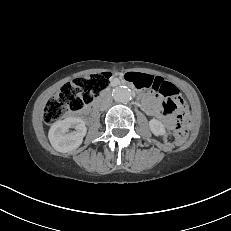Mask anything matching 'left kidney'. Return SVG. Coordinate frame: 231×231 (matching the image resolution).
<instances>
[{"label":"left kidney","mask_w":231,"mask_h":231,"mask_svg":"<svg viewBox=\"0 0 231 231\" xmlns=\"http://www.w3.org/2000/svg\"><path fill=\"white\" fill-rule=\"evenodd\" d=\"M149 127L152 133L155 136H165L166 135V130L162 122H160L157 119H151L149 121Z\"/></svg>","instance_id":"left-kidney-1"}]
</instances>
